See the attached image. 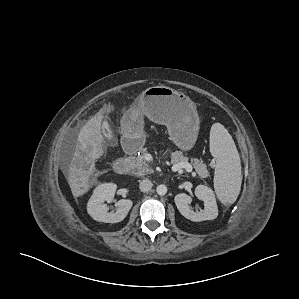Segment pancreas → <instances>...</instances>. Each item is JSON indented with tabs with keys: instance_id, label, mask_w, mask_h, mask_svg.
I'll return each mask as SVG.
<instances>
[{
	"instance_id": "obj_1",
	"label": "pancreas",
	"mask_w": 299,
	"mask_h": 299,
	"mask_svg": "<svg viewBox=\"0 0 299 299\" xmlns=\"http://www.w3.org/2000/svg\"><path fill=\"white\" fill-rule=\"evenodd\" d=\"M129 162L131 164L132 174L136 176L141 177L146 174L153 173V169L149 167V163L145 160L143 155L138 157H130ZM192 162L196 172L201 177H205L208 171L203 161L198 159H193ZM171 163L173 164L188 163V158L183 156L181 152L176 151L171 154Z\"/></svg>"
}]
</instances>
